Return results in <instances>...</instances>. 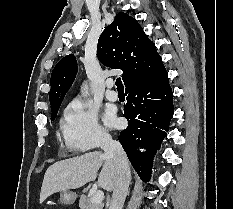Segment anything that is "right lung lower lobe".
Segmentation results:
<instances>
[{
  "instance_id": "1",
  "label": "right lung lower lobe",
  "mask_w": 233,
  "mask_h": 209,
  "mask_svg": "<svg viewBox=\"0 0 233 209\" xmlns=\"http://www.w3.org/2000/svg\"><path fill=\"white\" fill-rule=\"evenodd\" d=\"M127 103L123 116L128 127L118 139L135 171L143 181H149L156 150L167 136L173 117V93L168 73L162 64L150 77L125 91ZM138 148L146 149L140 152Z\"/></svg>"
}]
</instances>
